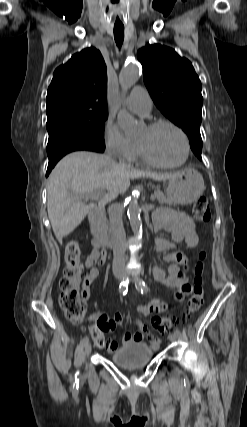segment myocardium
<instances>
[{"mask_svg": "<svg viewBox=\"0 0 247 427\" xmlns=\"http://www.w3.org/2000/svg\"><path fill=\"white\" fill-rule=\"evenodd\" d=\"M163 126H168L172 129H174L182 138L183 147H184V153H183L182 159L180 161H178L176 163H172V164H167V163H162V162L156 161L155 159H153L149 155V153L147 152L145 147L141 143L137 142V147H138L139 153H140L142 159L152 166L159 167V168H165V169L178 168V167L182 166L183 164H185V162L187 161L189 154H190V143H189L188 136L181 127H179L177 124H175L174 122L169 121V120L154 121V122L150 123L147 126V128L149 130H155V129L163 127Z\"/></svg>", "mask_w": 247, "mask_h": 427, "instance_id": "1", "label": "myocardium"}]
</instances>
